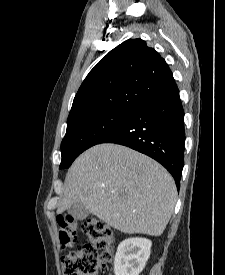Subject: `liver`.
I'll return each mask as SVG.
<instances>
[{"label": "liver", "mask_w": 225, "mask_h": 275, "mask_svg": "<svg viewBox=\"0 0 225 275\" xmlns=\"http://www.w3.org/2000/svg\"><path fill=\"white\" fill-rule=\"evenodd\" d=\"M176 195L172 176L153 159L122 145L98 144L83 152L68 170L57 213L80 202L123 233L160 236Z\"/></svg>", "instance_id": "1"}]
</instances>
